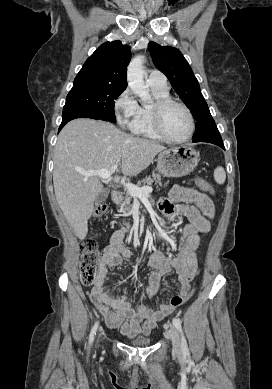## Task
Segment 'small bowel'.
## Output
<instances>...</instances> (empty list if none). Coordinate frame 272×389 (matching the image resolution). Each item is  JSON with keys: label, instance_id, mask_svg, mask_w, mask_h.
<instances>
[{"label": "small bowel", "instance_id": "obj_1", "mask_svg": "<svg viewBox=\"0 0 272 389\" xmlns=\"http://www.w3.org/2000/svg\"><path fill=\"white\" fill-rule=\"evenodd\" d=\"M159 208L163 213L164 224L171 223L178 217H185L188 223L180 231L181 246L175 257H167L158 251L151 254L149 265L154 271L150 277L146 294L153 297L163 278L172 271L177 275L180 294H185L190 290L191 281L200 272L196 253L199 246V234L210 231L214 206L206 195L191 188L175 185L168 197L160 200ZM130 256L131 251L116 233L104 250L102 265L88 296L104 316L109 328H119L123 336L133 338L138 335L148 336L157 323L171 314L174 308L166 302H161L152 308L145 304L134 306L125 295L119 297L111 295L105 286L108 273Z\"/></svg>", "mask_w": 272, "mask_h": 389}]
</instances>
